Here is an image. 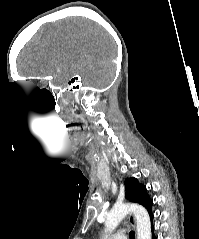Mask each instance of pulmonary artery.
I'll return each instance as SVG.
<instances>
[{"label":"pulmonary artery","instance_id":"pulmonary-artery-1","mask_svg":"<svg viewBox=\"0 0 199 239\" xmlns=\"http://www.w3.org/2000/svg\"><path fill=\"white\" fill-rule=\"evenodd\" d=\"M110 239H127L124 231H119L117 233H115Z\"/></svg>","mask_w":199,"mask_h":239}]
</instances>
